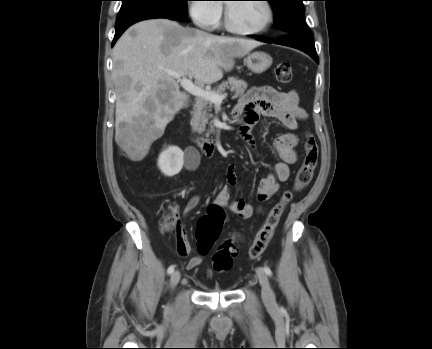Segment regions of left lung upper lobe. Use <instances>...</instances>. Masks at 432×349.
<instances>
[{
    "mask_svg": "<svg viewBox=\"0 0 432 349\" xmlns=\"http://www.w3.org/2000/svg\"><path fill=\"white\" fill-rule=\"evenodd\" d=\"M275 14V26L287 34L309 35L304 22L303 0H267Z\"/></svg>",
    "mask_w": 432,
    "mask_h": 349,
    "instance_id": "5c2ea615",
    "label": "left lung upper lobe"
}]
</instances>
